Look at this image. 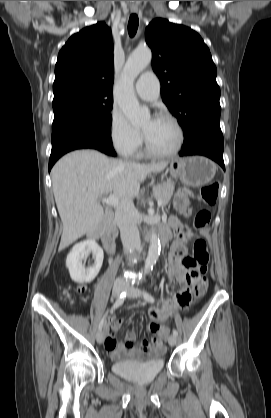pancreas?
Instances as JSON below:
<instances>
[{"instance_id": "pancreas-1", "label": "pancreas", "mask_w": 271, "mask_h": 418, "mask_svg": "<svg viewBox=\"0 0 271 418\" xmlns=\"http://www.w3.org/2000/svg\"><path fill=\"white\" fill-rule=\"evenodd\" d=\"M175 188L173 181H166L153 187V194L157 200L162 201V206H166L170 201Z\"/></svg>"}]
</instances>
